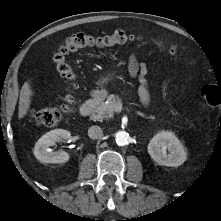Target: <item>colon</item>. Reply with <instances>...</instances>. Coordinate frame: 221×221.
<instances>
[{
	"instance_id": "1",
	"label": "colon",
	"mask_w": 221,
	"mask_h": 221,
	"mask_svg": "<svg viewBox=\"0 0 221 221\" xmlns=\"http://www.w3.org/2000/svg\"><path fill=\"white\" fill-rule=\"evenodd\" d=\"M135 37L128 34L125 30L117 29L110 34L102 36H93L86 33L73 34L66 38L58 47L57 52L53 56V61L58 74L68 80H75V72L73 67L67 62L66 55L83 48L97 47L110 48L124 44ZM171 54H179L180 48L176 43L164 44ZM201 95L208 106L214 108L221 105V93L218 88L205 85L201 90ZM75 106V99L72 91L64 97V102L58 107L34 109L31 112L33 119L41 125L52 127L61 122L65 115L70 114Z\"/></svg>"
}]
</instances>
